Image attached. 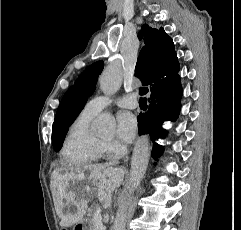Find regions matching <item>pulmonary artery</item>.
<instances>
[{
    "instance_id": "pulmonary-artery-1",
    "label": "pulmonary artery",
    "mask_w": 241,
    "mask_h": 230,
    "mask_svg": "<svg viewBox=\"0 0 241 230\" xmlns=\"http://www.w3.org/2000/svg\"><path fill=\"white\" fill-rule=\"evenodd\" d=\"M111 104H116L120 107L134 109L138 106L135 95H126L123 97H110L106 95H100L92 98L85 105L84 110L92 114H98L103 109L108 107Z\"/></svg>"
}]
</instances>
